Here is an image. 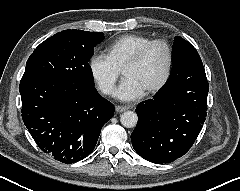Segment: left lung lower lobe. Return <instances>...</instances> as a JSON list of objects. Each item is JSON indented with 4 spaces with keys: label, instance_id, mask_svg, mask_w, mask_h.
Returning a JSON list of instances; mask_svg holds the SVG:
<instances>
[{
    "label": "left lung lower lobe",
    "instance_id": "0a47b994",
    "mask_svg": "<svg viewBox=\"0 0 240 191\" xmlns=\"http://www.w3.org/2000/svg\"><path fill=\"white\" fill-rule=\"evenodd\" d=\"M208 92L204 67H177L152 99L138 104L139 121L131 134L134 150L156 164L185 155L206 119Z\"/></svg>",
    "mask_w": 240,
    "mask_h": 191
}]
</instances>
